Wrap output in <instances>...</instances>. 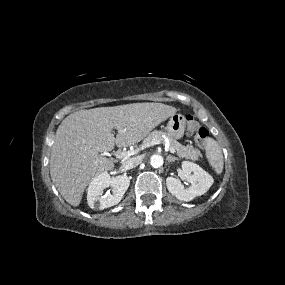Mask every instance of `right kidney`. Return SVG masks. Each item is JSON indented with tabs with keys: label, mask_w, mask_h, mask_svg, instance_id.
<instances>
[{
	"label": "right kidney",
	"mask_w": 285,
	"mask_h": 285,
	"mask_svg": "<svg viewBox=\"0 0 285 285\" xmlns=\"http://www.w3.org/2000/svg\"><path fill=\"white\" fill-rule=\"evenodd\" d=\"M130 180L127 176L119 175L111 178L103 172L92 179L87 189V202L90 208L103 210L118 204L127 191ZM112 187V193L103 195L104 189Z\"/></svg>",
	"instance_id": "right-kidney-1"
}]
</instances>
